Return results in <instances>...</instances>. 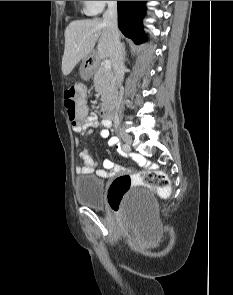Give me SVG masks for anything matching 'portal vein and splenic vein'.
Masks as SVG:
<instances>
[{"label":"portal vein and splenic vein","mask_w":233,"mask_h":295,"mask_svg":"<svg viewBox=\"0 0 233 295\" xmlns=\"http://www.w3.org/2000/svg\"><path fill=\"white\" fill-rule=\"evenodd\" d=\"M77 46V45H75ZM103 67L106 69V70H109L111 68V62L109 60H104L103 62Z\"/></svg>","instance_id":"portal-vein-and-splenic-vein-1"}]
</instances>
